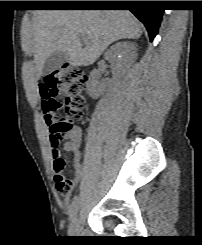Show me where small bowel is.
<instances>
[{
	"mask_svg": "<svg viewBox=\"0 0 202 245\" xmlns=\"http://www.w3.org/2000/svg\"><path fill=\"white\" fill-rule=\"evenodd\" d=\"M38 97L42 101H47L50 105L57 103L55 94L45 84L39 85ZM82 140V131L78 127H73L67 132V141L64 143L63 149L66 152L72 153L74 156V175L68 178L65 174L66 160L62 157L60 148L51 149L52 165L51 170L53 173L55 190L66 196L70 193L71 189L80 180L84 173L85 166L81 163L80 144Z\"/></svg>",
	"mask_w": 202,
	"mask_h": 245,
	"instance_id": "obj_1",
	"label": "small bowel"
}]
</instances>
